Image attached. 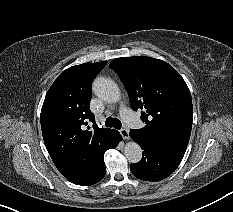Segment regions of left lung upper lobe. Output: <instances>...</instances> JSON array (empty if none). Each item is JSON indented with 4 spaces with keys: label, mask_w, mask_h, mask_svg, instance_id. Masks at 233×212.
<instances>
[{
    "label": "left lung upper lobe",
    "mask_w": 233,
    "mask_h": 212,
    "mask_svg": "<svg viewBox=\"0 0 233 212\" xmlns=\"http://www.w3.org/2000/svg\"><path fill=\"white\" fill-rule=\"evenodd\" d=\"M109 67L122 80L132 109L143 110L146 126L130 131L135 137L184 154L189 142L193 106L189 88L165 61L151 57H123Z\"/></svg>",
    "instance_id": "5c2ea615"
}]
</instances>
